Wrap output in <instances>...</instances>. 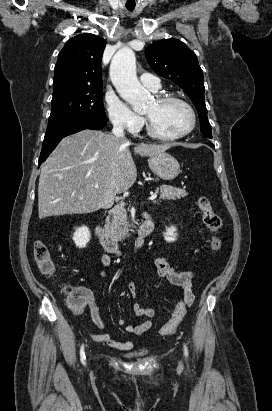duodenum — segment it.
Masks as SVG:
<instances>
[{
    "instance_id": "duodenum-1",
    "label": "duodenum",
    "mask_w": 272,
    "mask_h": 411,
    "mask_svg": "<svg viewBox=\"0 0 272 411\" xmlns=\"http://www.w3.org/2000/svg\"><path fill=\"white\" fill-rule=\"evenodd\" d=\"M154 224L150 219H147L139 228L135 239L134 252L141 250L144 247L145 239L153 232ZM93 232L101 246L109 253L115 255H123L119 250L117 239L106 231L103 226L97 222L93 227Z\"/></svg>"
}]
</instances>
